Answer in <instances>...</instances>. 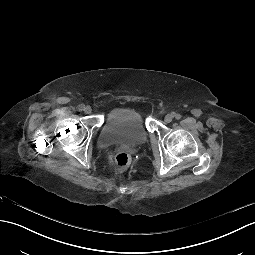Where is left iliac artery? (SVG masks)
I'll return each mask as SVG.
<instances>
[{"label":"left iliac artery","mask_w":255,"mask_h":255,"mask_svg":"<svg viewBox=\"0 0 255 255\" xmlns=\"http://www.w3.org/2000/svg\"><path fill=\"white\" fill-rule=\"evenodd\" d=\"M174 116H175V118H176L177 120H179V119L181 118V115H180V114H175Z\"/></svg>","instance_id":"obj_1"}]
</instances>
